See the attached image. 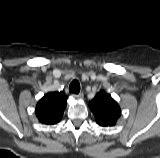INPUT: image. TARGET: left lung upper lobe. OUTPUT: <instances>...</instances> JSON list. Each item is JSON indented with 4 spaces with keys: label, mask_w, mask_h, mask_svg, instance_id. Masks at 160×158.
I'll return each instance as SVG.
<instances>
[{
    "label": "left lung upper lobe",
    "mask_w": 160,
    "mask_h": 158,
    "mask_svg": "<svg viewBox=\"0 0 160 158\" xmlns=\"http://www.w3.org/2000/svg\"><path fill=\"white\" fill-rule=\"evenodd\" d=\"M97 124L103 127L115 125L121 114L117 102L105 91H100L89 105Z\"/></svg>",
    "instance_id": "5c2ea615"
}]
</instances>
